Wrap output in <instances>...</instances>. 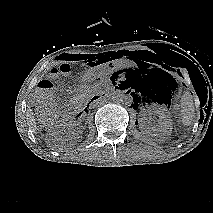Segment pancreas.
<instances>
[{
  "label": "pancreas",
  "mask_w": 213,
  "mask_h": 213,
  "mask_svg": "<svg viewBox=\"0 0 213 213\" xmlns=\"http://www.w3.org/2000/svg\"><path fill=\"white\" fill-rule=\"evenodd\" d=\"M84 89H85V90L83 91V94H82V95L84 96L85 99H88V98L91 96L90 93H91L93 90H92L90 87H88V86H85Z\"/></svg>",
  "instance_id": "1"
}]
</instances>
